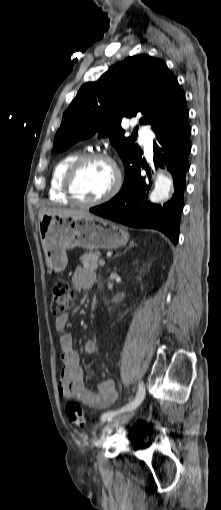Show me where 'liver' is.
Here are the masks:
<instances>
[{
	"instance_id": "obj_1",
	"label": "liver",
	"mask_w": 221,
	"mask_h": 510,
	"mask_svg": "<svg viewBox=\"0 0 221 510\" xmlns=\"http://www.w3.org/2000/svg\"><path fill=\"white\" fill-rule=\"evenodd\" d=\"M61 215L66 217H72V218H82V217H91V215L88 211L84 210H76V209H64V208H54V207H44L39 210V220L45 215Z\"/></svg>"
}]
</instances>
